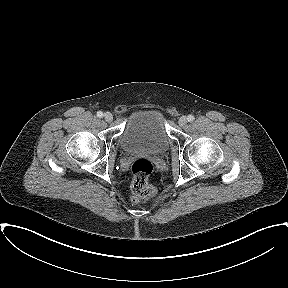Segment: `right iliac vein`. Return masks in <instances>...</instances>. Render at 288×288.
<instances>
[{
  "instance_id": "63e3f726",
  "label": "right iliac vein",
  "mask_w": 288,
  "mask_h": 288,
  "mask_svg": "<svg viewBox=\"0 0 288 288\" xmlns=\"http://www.w3.org/2000/svg\"><path fill=\"white\" fill-rule=\"evenodd\" d=\"M104 119L107 121V122H111L113 120V115L110 113V112H106L104 114Z\"/></svg>"
}]
</instances>
